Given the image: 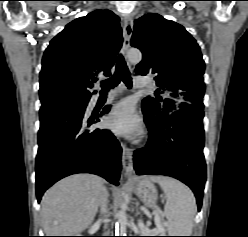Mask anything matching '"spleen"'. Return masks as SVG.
<instances>
[{
    "instance_id": "obj_1",
    "label": "spleen",
    "mask_w": 248,
    "mask_h": 237,
    "mask_svg": "<svg viewBox=\"0 0 248 237\" xmlns=\"http://www.w3.org/2000/svg\"><path fill=\"white\" fill-rule=\"evenodd\" d=\"M166 195L164 214L170 236H190L196 201L191 190L181 182L168 177L158 181Z\"/></svg>"
}]
</instances>
